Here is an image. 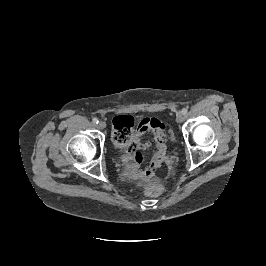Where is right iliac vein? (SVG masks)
Segmentation results:
<instances>
[{
	"label": "right iliac vein",
	"instance_id": "obj_1",
	"mask_svg": "<svg viewBox=\"0 0 266 266\" xmlns=\"http://www.w3.org/2000/svg\"><path fill=\"white\" fill-rule=\"evenodd\" d=\"M98 127H99L100 129H104V128L106 127V124H105L103 121H100V122L98 123Z\"/></svg>",
	"mask_w": 266,
	"mask_h": 266
}]
</instances>
